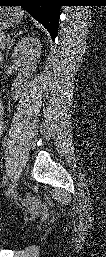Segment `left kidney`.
<instances>
[{
	"instance_id": "5707ae66",
	"label": "left kidney",
	"mask_w": 106,
	"mask_h": 257,
	"mask_svg": "<svg viewBox=\"0 0 106 257\" xmlns=\"http://www.w3.org/2000/svg\"><path fill=\"white\" fill-rule=\"evenodd\" d=\"M41 43L37 38H23L14 48L12 53L13 63L19 67L20 75L29 76L36 69L40 57Z\"/></svg>"
}]
</instances>
